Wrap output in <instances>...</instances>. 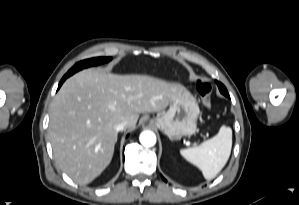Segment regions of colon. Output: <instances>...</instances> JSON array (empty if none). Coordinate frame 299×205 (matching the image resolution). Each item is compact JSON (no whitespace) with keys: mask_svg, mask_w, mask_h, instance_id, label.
<instances>
[{"mask_svg":"<svg viewBox=\"0 0 299 205\" xmlns=\"http://www.w3.org/2000/svg\"><path fill=\"white\" fill-rule=\"evenodd\" d=\"M196 89L201 96L203 105L207 108H211V91L212 85L207 80H198L196 83Z\"/></svg>","mask_w":299,"mask_h":205,"instance_id":"1","label":"colon"}]
</instances>
